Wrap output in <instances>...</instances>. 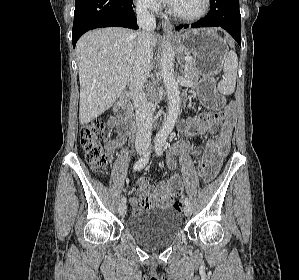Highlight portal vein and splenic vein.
Wrapping results in <instances>:
<instances>
[{"mask_svg":"<svg viewBox=\"0 0 299 280\" xmlns=\"http://www.w3.org/2000/svg\"><path fill=\"white\" fill-rule=\"evenodd\" d=\"M191 60H192V57H189V56L185 57L186 62L191 61Z\"/></svg>","mask_w":299,"mask_h":280,"instance_id":"1","label":"portal vein and splenic vein"}]
</instances>
